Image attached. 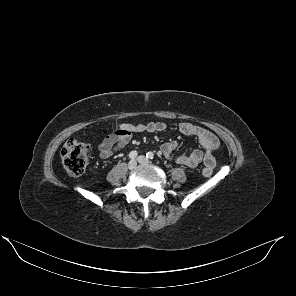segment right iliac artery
<instances>
[{"mask_svg":"<svg viewBox=\"0 0 296 296\" xmlns=\"http://www.w3.org/2000/svg\"><path fill=\"white\" fill-rule=\"evenodd\" d=\"M137 155H138L137 151H131L129 153V158L135 159L137 157Z\"/></svg>","mask_w":296,"mask_h":296,"instance_id":"1","label":"right iliac artery"}]
</instances>
